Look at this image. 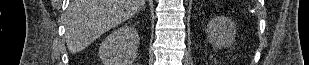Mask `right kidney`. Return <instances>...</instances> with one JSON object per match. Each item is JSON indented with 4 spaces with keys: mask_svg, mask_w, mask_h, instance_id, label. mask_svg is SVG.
Masks as SVG:
<instances>
[{
    "mask_svg": "<svg viewBox=\"0 0 309 65\" xmlns=\"http://www.w3.org/2000/svg\"><path fill=\"white\" fill-rule=\"evenodd\" d=\"M139 35L134 27L123 26L110 33L99 47L104 65H132L137 57Z\"/></svg>",
    "mask_w": 309,
    "mask_h": 65,
    "instance_id": "right-kidney-1",
    "label": "right kidney"
}]
</instances>
